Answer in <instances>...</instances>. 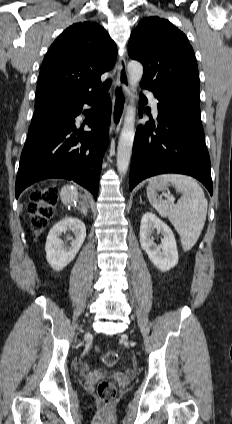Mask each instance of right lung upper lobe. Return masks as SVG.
Returning <instances> with one entry per match:
<instances>
[{
  "instance_id": "right-lung-upper-lobe-1",
  "label": "right lung upper lobe",
  "mask_w": 232,
  "mask_h": 424,
  "mask_svg": "<svg viewBox=\"0 0 232 424\" xmlns=\"http://www.w3.org/2000/svg\"><path fill=\"white\" fill-rule=\"evenodd\" d=\"M117 47L97 23H76L54 41L41 66L35 109L94 98L91 87L115 64Z\"/></svg>"
}]
</instances>
